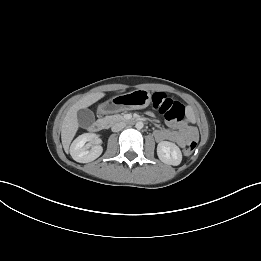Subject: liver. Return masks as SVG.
Masks as SVG:
<instances>
[{
    "label": "liver",
    "mask_w": 261,
    "mask_h": 261,
    "mask_svg": "<svg viewBox=\"0 0 261 261\" xmlns=\"http://www.w3.org/2000/svg\"><path fill=\"white\" fill-rule=\"evenodd\" d=\"M104 96L105 94L103 92L90 93L85 95L83 98H81L79 101H77L74 105L70 107L63 119L61 126V140L63 148L66 152H68L69 145L79 128L77 112L80 109L89 107L90 105L94 104Z\"/></svg>",
    "instance_id": "1"
}]
</instances>
